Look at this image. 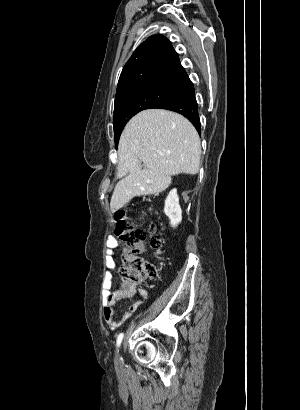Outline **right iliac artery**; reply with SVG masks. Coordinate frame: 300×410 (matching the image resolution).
Listing matches in <instances>:
<instances>
[{
	"instance_id": "1",
	"label": "right iliac artery",
	"mask_w": 300,
	"mask_h": 410,
	"mask_svg": "<svg viewBox=\"0 0 300 410\" xmlns=\"http://www.w3.org/2000/svg\"><path fill=\"white\" fill-rule=\"evenodd\" d=\"M123 336H124L123 333H120V334L118 335V337H117V347L120 346V344H121V342H122V339H123Z\"/></svg>"
}]
</instances>
